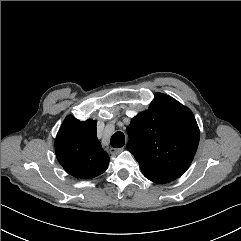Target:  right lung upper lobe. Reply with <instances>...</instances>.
Masks as SVG:
<instances>
[{
    "mask_svg": "<svg viewBox=\"0 0 241 241\" xmlns=\"http://www.w3.org/2000/svg\"><path fill=\"white\" fill-rule=\"evenodd\" d=\"M96 121L65 118L55 140V152L65 171L83 179L102 174L109 164V156L97 139Z\"/></svg>",
    "mask_w": 241,
    "mask_h": 241,
    "instance_id": "right-lung-upper-lobe-1",
    "label": "right lung upper lobe"
}]
</instances>
